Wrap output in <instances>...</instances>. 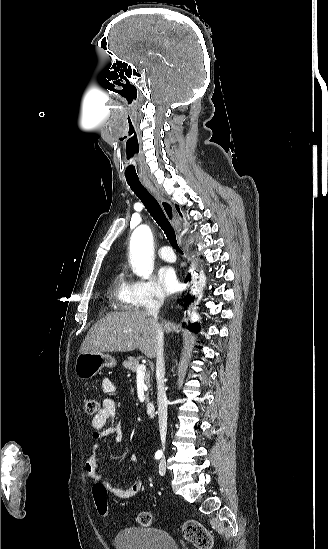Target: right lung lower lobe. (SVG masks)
Returning <instances> with one entry per match:
<instances>
[{"label":"right lung lower lobe","instance_id":"obj_1","mask_svg":"<svg viewBox=\"0 0 328 549\" xmlns=\"http://www.w3.org/2000/svg\"><path fill=\"white\" fill-rule=\"evenodd\" d=\"M187 280H191V275L188 274L187 275ZM186 280V281H187ZM195 300V296H192L191 294H188L186 297H185V309ZM184 325V323H183ZM188 328H191L193 329L194 331L198 330L200 327H199V324L198 323H194V324H191L188 326Z\"/></svg>","mask_w":328,"mask_h":549}]
</instances>
